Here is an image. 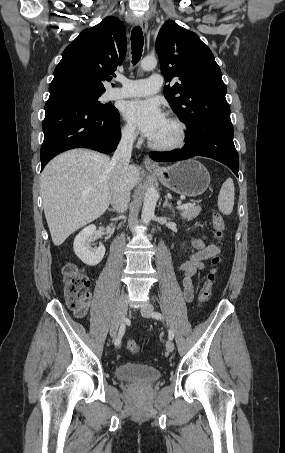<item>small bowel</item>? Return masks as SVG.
<instances>
[{
  "label": "small bowel",
  "instance_id": "small-bowel-1",
  "mask_svg": "<svg viewBox=\"0 0 285 453\" xmlns=\"http://www.w3.org/2000/svg\"><path fill=\"white\" fill-rule=\"evenodd\" d=\"M192 245L194 253L183 262L178 270L182 273L181 286L186 301L190 302L194 298L195 286L193 278L205 268L204 261L217 256L221 248L216 244H205L204 238H194Z\"/></svg>",
  "mask_w": 285,
  "mask_h": 453
}]
</instances>
